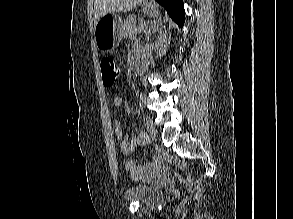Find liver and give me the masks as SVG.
<instances>
[{
    "mask_svg": "<svg viewBox=\"0 0 293 219\" xmlns=\"http://www.w3.org/2000/svg\"><path fill=\"white\" fill-rule=\"evenodd\" d=\"M143 0H94V25L108 13L127 12Z\"/></svg>",
    "mask_w": 293,
    "mask_h": 219,
    "instance_id": "obj_1",
    "label": "liver"
}]
</instances>
